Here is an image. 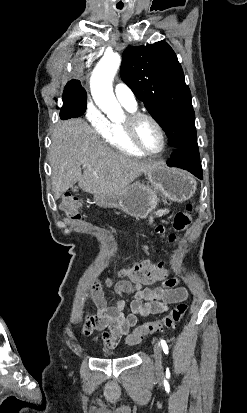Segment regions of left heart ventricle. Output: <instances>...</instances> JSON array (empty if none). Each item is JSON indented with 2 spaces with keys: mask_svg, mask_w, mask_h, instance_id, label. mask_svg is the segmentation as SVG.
I'll return each mask as SVG.
<instances>
[{
  "mask_svg": "<svg viewBox=\"0 0 247 413\" xmlns=\"http://www.w3.org/2000/svg\"><path fill=\"white\" fill-rule=\"evenodd\" d=\"M137 134L140 143L149 151H158L163 144L162 136L157 128L143 120L138 125Z\"/></svg>",
  "mask_w": 247,
  "mask_h": 413,
  "instance_id": "obj_1",
  "label": "left heart ventricle"
}]
</instances>
